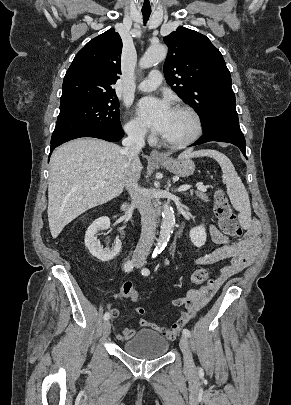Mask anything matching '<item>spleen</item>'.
Here are the masks:
<instances>
[{"label": "spleen", "mask_w": 291, "mask_h": 405, "mask_svg": "<svg viewBox=\"0 0 291 405\" xmlns=\"http://www.w3.org/2000/svg\"><path fill=\"white\" fill-rule=\"evenodd\" d=\"M200 156L212 157L219 163L223 172L222 179L223 183L226 184L227 194L233 207L239 211L240 220H250L251 207L248 192L229 158L216 150H199L195 152L186 150L179 155V158H194Z\"/></svg>", "instance_id": "obj_1"}]
</instances>
